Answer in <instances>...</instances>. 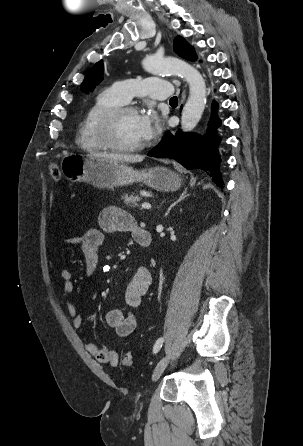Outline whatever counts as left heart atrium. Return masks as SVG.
<instances>
[{
  "label": "left heart atrium",
  "instance_id": "left-heart-atrium-1",
  "mask_svg": "<svg viewBox=\"0 0 303 446\" xmlns=\"http://www.w3.org/2000/svg\"><path fill=\"white\" fill-rule=\"evenodd\" d=\"M139 131L144 140L158 136L162 130V120L153 109L138 115Z\"/></svg>",
  "mask_w": 303,
  "mask_h": 446
}]
</instances>
